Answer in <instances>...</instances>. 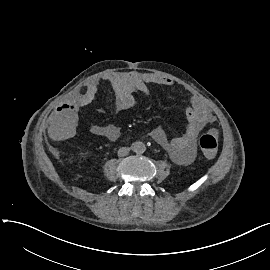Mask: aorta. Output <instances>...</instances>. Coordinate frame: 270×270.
I'll list each match as a JSON object with an SVG mask.
<instances>
[{
    "label": "aorta",
    "instance_id": "1",
    "mask_svg": "<svg viewBox=\"0 0 270 270\" xmlns=\"http://www.w3.org/2000/svg\"><path fill=\"white\" fill-rule=\"evenodd\" d=\"M131 148L137 154H142L146 150L145 144L142 142H133Z\"/></svg>",
    "mask_w": 270,
    "mask_h": 270
}]
</instances>
